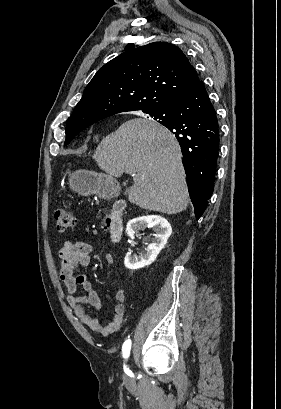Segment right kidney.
Listing matches in <instances>:
<instances>
[{
	"label": "right kidney",
	"mask_w": 281,
	"mask_h": 409,
	"mask_svg": "<svg viewBox=\"0 0 281 409\" xmlns=\"http://www.w3.org/2000/svg\"><path fill=\"white\" fill-rule=\"evenodd\" d=\"M145 229H153L155 235L152 239V243L148 245L144 253H126L124 265L127 269H142V267H147L154 263L157 255H159L161 249L167 243L168 237L172 233V227L164 217L160 215H144V217H135L127 223L126 233L128 237L133 239L135 233L138 231H145Z\"/></svg>",
	"instance_id": "obj_1"
}]
</instances>
